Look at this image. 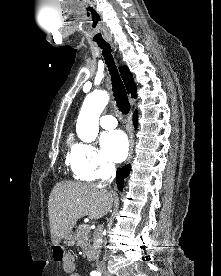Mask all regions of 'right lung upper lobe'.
<instances>
[{"label": "right lung upper lobe", "instance_id": "obj_1", "mask_svg": "<svg viewBox=\"0 0 221 276\" xmlns=\"http://www.w3.org/2000/svg\"><path fill=\"white\" fill-rule=\"evenodd\" d=\"M119 71L121 73L126 89L128 90V93H131L132 97H136V86L134 84L133 76L128 67L121 66L119 67Z\"/></svg>", "mask_w": 221, "mask_h": 276}]
</instances>
